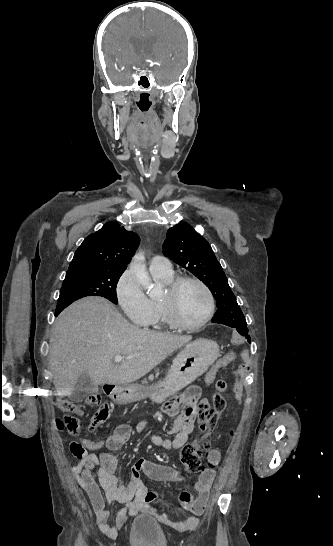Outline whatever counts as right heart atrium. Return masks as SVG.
Segmentation results:
<instances>
[{
  "mask_svg": "<svg viewBox=\"0 0 333 546\" xmlns=\"http://www.w3.org/2000/svg\"><path fill=\"white\" fill-rule=\"evenodd\" d=\"M115 298L124 315L136 324L144 325L152 316L151 301L131 270L119 277L115 285Z\"/></svg>",
  "mask_w": 333,
  "mask_h": 546,
  "instance_id": "d8ad5b80",
  "label": "right heart atrium"
}]
</instances>
